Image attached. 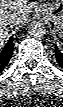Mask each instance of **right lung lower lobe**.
Segmentation results:
<instances>
[{"label":"right lung lower lobe","mask_w":63,"mask_h":107,"mask_svg":"<svg viewBox=\"0 0 63 107\" xmlns=\"http://www.w3.org/2000/svg\"><path fill=\"white\" fill-rule=\"evenodd\" d=\"M12 51H13V43L11 36L7 44L3 48V50L0 52V73L8 65V62L12 57Z\"/></svg>","instance_id":"1"}]
</instances>
